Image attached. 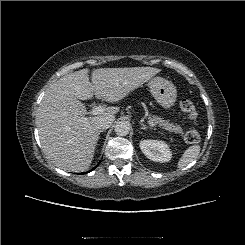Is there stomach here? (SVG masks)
<instances>
[{
    "label": "stomach",
    "instance_id": "obj_1",
    "mask_svg": "<svg viewBox=\"0 0 245 245\" xmlns=\"http://www.w3.org/2000/svg\"><path fill=\"white\" fill-rule=\"evenodd\" d=\"M149 88L153 97L164 109H170L174 106L177 90L172 82L156 77L150 81Z\"/></svg>",
    "mask_w": 245,
    "mask_h": 245
}]
</instances>
